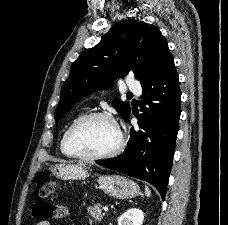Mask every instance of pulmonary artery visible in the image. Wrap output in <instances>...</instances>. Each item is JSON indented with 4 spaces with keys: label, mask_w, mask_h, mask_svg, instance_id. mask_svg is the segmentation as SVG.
<instances>
[{
    "label": "pulmonary artery",
    "mask_w": 228,
    "mask_h": 225,
    "mask_svg": "<svg viewBox=\"0 0 228 225\" xmlns=\"http://www.w3.org/2000/svg\"><path fill=\"white\" fill-rule=\"evenodd\" d=\"M130 80L133 78L131 75L128 77ZM130 90H133L134 93L140 95L141 94V85H139V81H130Z\"/></svg>",
    "instance_id": "e3ab8cb5"
}]
</instances>
